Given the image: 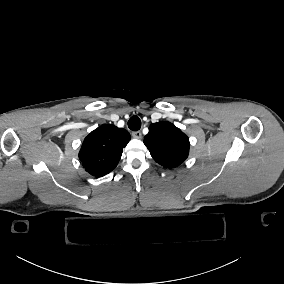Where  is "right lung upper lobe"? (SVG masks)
Masks as SVG:
<instances>
[{"label": "right lung upper lobe", "instance_id": "1", "mask_svg": "<svg viewBox=\"0 0 284 284\" xmlns=\"http://www.w3.org/2000/svg\"><path fill=\"white\" fill-rule=\"evenodd\" d=\"M130 139L127 130L114 125H102L84 139L79 159L89 174L102 177L117 166L123 148Z\"/></svg>", "mask_w": 284, "mask_h": 284}]
</instances>
